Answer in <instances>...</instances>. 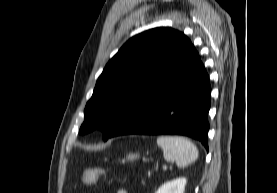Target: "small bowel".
I'll return each mask as SVG.
<instances>
[{
	"mask_svg": "<svg viewBox=\"0 0 277 193\" xmlns=\"http://www.w3.org/2000/svg\"><path fill=\"white\" fill-rule=\"evenodd\" d=\"M116 193H128L125 189H117Z\"/></svg>",
	"mask_w": 277,
	"mask_h": 193,
	"instance_id": "obj_1",
	"label": "small bowel"
}]
</instances>
